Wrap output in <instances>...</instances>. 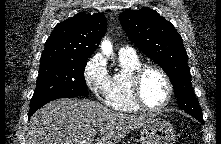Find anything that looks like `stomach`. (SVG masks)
Here are the masks:
<instances>
[{
  "instance_id": "1",
  "label": "stomach",
  "mask_w": 221,
  "mask_h": 144,
  "mask_svg": "<svg viewBox=\"0 0 221 144\" xmlns=\"http://www.w3.org/2000/svg\"><path fill=\"white\" fill-rule=\"evenodd\" d=\"M175 139L173 126L161 117L152 118L140 131L141 144H173Z\"/></svg>"
}]
</instances>
